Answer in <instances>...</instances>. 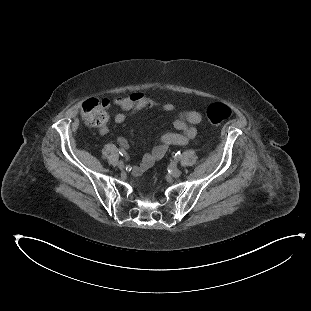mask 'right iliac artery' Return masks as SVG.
Segmentation results:
<instances>
[{"label":"right iliac artery","mask_w":311,"mask_h":311,"mask_svg":"<svg viewBox=\"0 0 311 311\" xmlns=\"http://www.w3.org/2000/svg\"><path fill=\"white\" fill-rule=\"evenodd\" d=\"M119 153H120L121 156L127 157V153H126V151L123 148L119 149Z\"/></svg>","instance_id":"obj_1"}]
</instances>
